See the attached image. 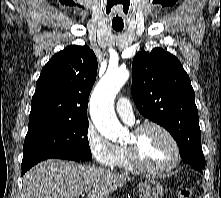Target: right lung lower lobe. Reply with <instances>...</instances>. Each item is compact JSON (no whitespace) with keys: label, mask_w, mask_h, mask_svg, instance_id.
<instances>
[{"label":"right lung lower lobe","mask_w":221,"mask_h":198,"mask_svg":"<svg viewBox=\"0 0 221 198\" xmlns=\"http://www.w3.org/2000/svg\"><path fill=\"white\" fill-rule=\"evenodd\" d=\"M49 158H59V159H67V160H73V161H83L82 159L78 158V157H75V156H71V155H65V154H56V155H50V156H46L44 158H41L39 160H37L36 162L26 166V167H23L22 168V176L23 174L29 170L32 166H34L35 164H37L38 162L40 161H43L45 159H49Z\"/></svg>","instance_id":"obj_1"}]
</instances>
